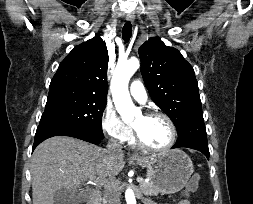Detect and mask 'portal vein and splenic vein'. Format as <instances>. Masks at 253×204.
Listing matches in <instances>:
<instances>
[{
	"instance_id": "18ae733b",
	"label": "portal vein and splenic vein",
	"mask_w": 253,
	"mask_h": 204,
	"mask_svg": "<svg viewBox=\"0 0 253 204\" xmlns=\"http://www.w3.org/2000/svg\"><path fill=\"white\" fill-rule=\"evenodd\" d=\"M137 182H139V183L143 182V178L138 177ZM88 183H92L94 185H106L107 184L104 181H100L99 179H94V178L90 179Z\"/></svg>"
}]
</instances>
